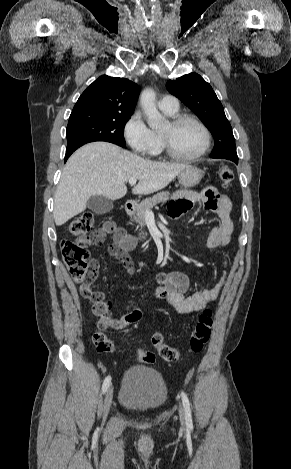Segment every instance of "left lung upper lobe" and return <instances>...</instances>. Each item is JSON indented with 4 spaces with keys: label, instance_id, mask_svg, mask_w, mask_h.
<instances>
[{
    "label": "left lung upper lobe",
    "instance_id": "obj_1",
    "mask_svg": "<svg viewBox=\"0 0 291 469\" xmlns=\"http://www.w3.org/2000/svg\"><path fill=\"white\" fill-rule=\"evenodd\" d=\"M167 90L193 110L210 130L215 146L212 158H238L232 128L215 92L199 74L190 73L166 83Z\"/></svg>",
    "mask_w": 291,
    "mask_h": 469
}]
</instances>
